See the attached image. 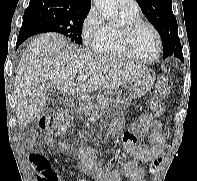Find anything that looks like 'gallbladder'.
I'll return each mask as SVG.
<instances>
[{"label": "gallbladder", "instance_id": "obj_1", "mask_svg": "<svg viewBox=\"0 0 197 181\" xmlns=\"http://www.w3.org/2000/svg\"><path fill=\"white\" fill-rule=\"evenodd\" d=\"M56 92V90L53 87H48L46 89V106L47 108L49 107L50 109H52V106H54V100L52 98V96L54 95V93ZM58 96V95H56Z\"/></svg>", "mask_w": 197, "mask_h": 181}]
</instances>
